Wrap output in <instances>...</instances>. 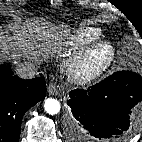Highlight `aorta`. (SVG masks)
Returning a JSON list of instances; mask_svg holds the SVG:
<instances>
[{"label": "aorta", "mask_w": 142, "mask_h": 142, "mask_svg": "<svg viewBox=\"0 0 142 142\" xmlns=\"http://www.w3.org/2000/svg\"><path fill=\"white\" fill-rule=\"evenodd\" d=\"M44 109L50 115L57 114L60 111V103L56 99L48 98L45 100Z\"/></svg>", "instance_id": "obj_1"}]
</instances>
